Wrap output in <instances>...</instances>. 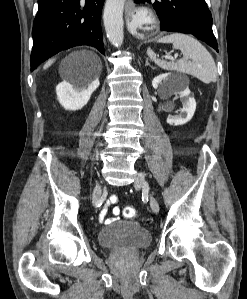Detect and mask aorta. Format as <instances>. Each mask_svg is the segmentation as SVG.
Masks as SVG:
<instances>
[{"instance_id": "762f6f07", "label": "aorta", "mask_w": 247, "mask_h": 299, "mask_svg": "<svg viewBox=\"0 0 247 299\" xmlns=\"http://www.w3.org/2000/svg\"><path fill=\"white\" fill-rule=\"evenodd\" d=\"M125 0H106L103 21L106 35L110 43L119 47L123 43V10Z\"/></svg>"}]
</instances>
